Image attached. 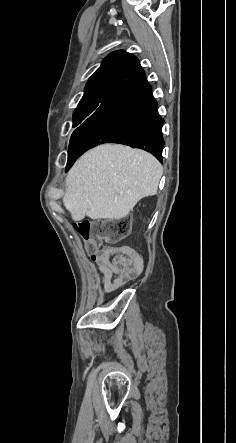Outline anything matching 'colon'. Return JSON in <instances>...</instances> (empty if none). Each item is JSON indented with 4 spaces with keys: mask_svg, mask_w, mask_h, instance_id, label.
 <instances>
[{
    "mask_svg": "<svg viewBox=\"0 0 236 443\" xmlns=\"http://www.w3.org/2000/svg\"><path fill=\"white\" fill-rule=\"evenodd\" d=\"M130 219L124 217L109 222H79L76 229L81 238L87 242L88 252L92 255L99 251L103 243H115L125 238L130 232Z\"/></svg>",
    "mask_w": 236,
    "mask_h": 443,
    "instance_id": "5ec220e1",
    "label": "colon"
}]
</instances>
